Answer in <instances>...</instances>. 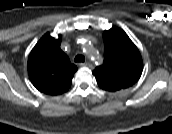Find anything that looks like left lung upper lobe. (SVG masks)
<instances>
[{"mask_svg":"<svg viewBox=\"0 0 172 134\" xmlns=\"http://www.w3.org/2000/svg\"><path fill=\"white\" fill-rule=\"evenodd\" d=\"M104 63L93 71L98 85L107 91L128 88L140 78L143 61L139 50L122 30L104 31Z\"/></svg>","mask_w":172,"mask_h":134,"instance_id":"1","label":"left lung upper lobe"}]
</instances>
